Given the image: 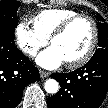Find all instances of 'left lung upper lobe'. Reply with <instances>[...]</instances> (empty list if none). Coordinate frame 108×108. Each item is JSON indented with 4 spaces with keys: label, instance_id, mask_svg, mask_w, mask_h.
Segmentation results:
<instances>
[{
    "label": "left lung upper lobe",
    "instance_id": "obj_1",
    "mask_svg": "<svg viewBox=\"0 0 108 108\" xmlns=\"http://www.w3.org/2000/svg\"><path fill=\"white\" fill-rule=\"evenodd\" d=\"M97 20L99 21L97 24L99 48L96 50L92 58H108V24L105 22L104 18L100 14L97 15Z\"/></svg>",
    "mask_w": 108,
    "mask_h": 108
}]
</instances>
